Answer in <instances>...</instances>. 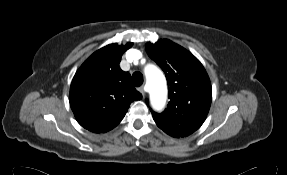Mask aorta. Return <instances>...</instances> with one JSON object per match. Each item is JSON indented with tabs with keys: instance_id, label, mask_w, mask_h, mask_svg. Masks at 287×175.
Instances as JSON below:
<instances>
[{
	"instance_id": "aorta-1",
	"label": "aorta",
	"mask_w": 287,
	"mask_h": 175,
	"mask_svg": "<svg viewBox=\"0 0 287 175\" xmlns=\"http://www.w3.org/2000/svg\"><path fill=\"white\" fill-rule=\"evenodd\" d=\"M148 85L152 88L151 103L155 110H161L166 102L167 87L163 73L153 65L145 69Z\"/></svg>"
}]
</instances>
